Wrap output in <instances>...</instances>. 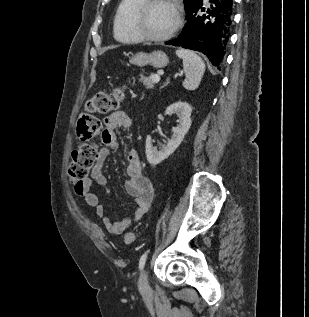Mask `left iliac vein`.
I'll return each instance as SVG.
<instances>
[{
	"label": "left iliac vein",
	"instance_id": "left-iliac-vein-1",
	"mask_svg": "<svg viewBox=\"0 0 309 317\" xmlns=\"http://www.w3.org/2000/svg\"><path fill=\"white\" fill-rule=\"evenodd\" d=\"M140 287L143 293H148L150 290L149 280H148V271L144 269L140 277Z\"/></svg>",
	"mask_w": 309,
	"mask_h": 317
}]
</instances>
